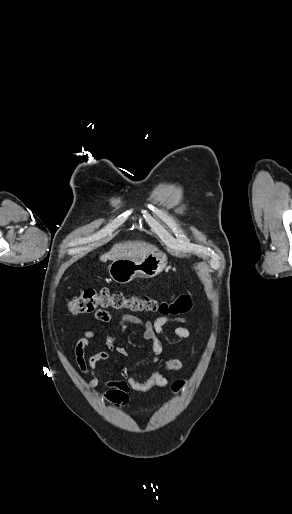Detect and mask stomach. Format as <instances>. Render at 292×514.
Instances as JSON below:
<instances>
[{"mask_svg":"<svg viewBox=\"0 0 292 514\" xmlns=\"http://www.w3.org/2000/svg\"><path fill=\"white\" fill-rule=\"evenodd\" d=\"M167 266V256L163 252H150L137 260L119 258L108 266L110 278L117 284H128L134 278H154Z\"/></svg>","mask_w":292,"mask_h":514,"instance_id":"stomach-1","label":"stomach"}]
</instances>
